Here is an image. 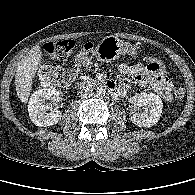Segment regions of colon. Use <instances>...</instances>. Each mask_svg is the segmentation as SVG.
Masks as SVG:
<instances>
[{"mask_svg": "<svg viewBox=\"0 0 195 195\" xmlns=\"http://www.w3.org/2000/svg\"><path fill=\"white\" fill-rule=\"evenodd\" d=\"M75 43L72 40H59L48 42L44 45V51L53 59L64 61L70 57L73 52ZM94 50L91 43H86L81 48L77 59L75 69H66L57 64H46L39 71L41 83L48 87H66L70 85L76 74V70L89 66L93 58ZM143 66L145 70L159 78L166 77L164 64L156 57L148 56L145 58ZM185 92L178 88L174 92V98L177 101L183 100Z\"/></svg>", "mask_w": 195, "mask_h": 195, "instance_id": "5ec220e1", "label": "colon"}]
</instances>
